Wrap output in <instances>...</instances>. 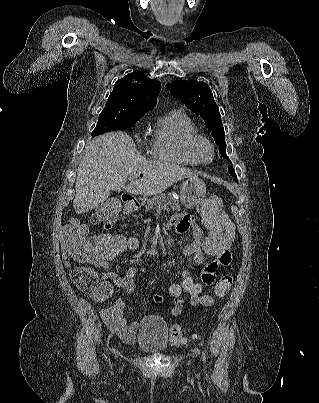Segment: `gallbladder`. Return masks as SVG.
Returning <instances> with one entry per match:
<instances>
[{
	"label": "gallbladder",
	"instance_id": "gallbladder-1",
	"mask_svg": "<svg viewBox=\"0 0 319 403\" xmlns=\"http://www.w3.org/2000/svg\"><path fill=\"white\" fill-rule=\"evenodd\" d=\"M116 202H118V201L111 199L108 202H106L105 204H103V207H105V209L107 208L108 212H112L113 210H116L118 208Z\"/></svg>",
	"mask_w": 319,
	"mask_h": 403
}]
</instances>
